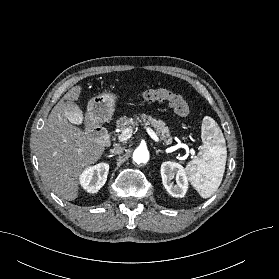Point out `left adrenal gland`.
Masks as SVG:
<instances>
[{
    "label": "left adrenal gland",
    "instance_id": "left-adrenal-gland-1",
    "mask_svg": "<svg viewBox=\"0 0 279 279\" xmlns=\"http://www.w3.org/2000/svg\"><path fill=\"white\" fill-rule=\"evenodd\" d=\"M159 152H161V153H163V151L162 150H160V149H156V154H158Z\"/></svg>",
    "mask_w": 279,
    "mask_h": 279
}]
</instances>
